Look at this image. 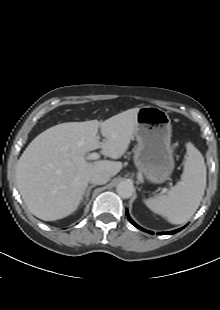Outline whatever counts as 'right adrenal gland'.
<instances>
[{"mask_svg":"<svg viewBox=\"0 0 220 310\" xmlns=\"http://www.w3.org/2000/svg\"><path fill=\"white\" fill-rule=\"evenodd\" d=\"M94 187H96L95 184L89 186V187L85 190V192H84V194H83V197H82V200H84V198H85L84 204H86L87 201L89 200V196H90L91 189L94 188Z\"/></svg>","mask_w":220,"mask_h":310,"instance_id":"2a0ac1e0","label":"right adrenal gland"}]
</instances>
